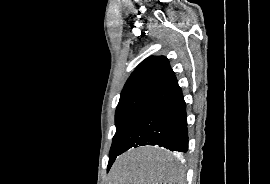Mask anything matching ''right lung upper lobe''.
Instances as JSON below:
<instances>
[{
	"mask_svg": "<svg viewBox=\"0 0 270 184\" xmlns=\"http://www.w3.org/2000/svg\"><path fill=\"white\" fill-rule=\"evenodd\" d=\"M175 79L166 57L151 56L133 71L121 92L120 100L135 96L150 97Z\"/></svg>",
	"mask_w": 270,
	"mask_h": 184,
	"instance_id": "right-lung-upper-lobe-1",
	"label": "right lung upper lobe"
}]
</instances>
